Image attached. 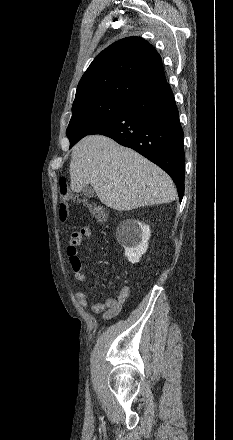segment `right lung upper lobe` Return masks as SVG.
<instances>
[{
    "instance_id": "right-lung-upper-lobe-1",
    "label": "right lung upper lobe",
    "mask_w": 233,
    "mask_h": 440,
    "mask_svg": "<svg viewBox=\"0 0 233 440\" xmlns=\"http://www.w3.org/2000/svg\"><path fill=\"white\" fill-rule=\"evenodd\" d=\"M165 82L158 52L142 38L127 37L93 60L78 84L74 103L92 98L129 101Z\"/></svg>"
}]
</instances>
